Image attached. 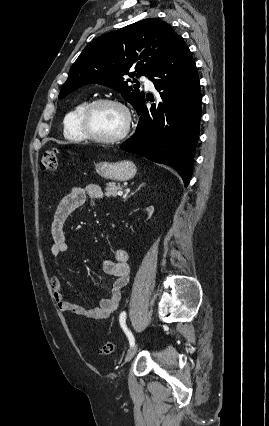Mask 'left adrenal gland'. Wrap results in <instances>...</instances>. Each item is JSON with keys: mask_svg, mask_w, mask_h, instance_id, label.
I'll list each match as a JSON object with an SVG mask.
<instances>
[{"mask_svg": "<svg viewBox=\"0 0 269 426\" xmlns=\"http://www.w3.org/2000/svg\"><path fill=\"white\" fill-rule=\"evenodd\" d=\"M142 185H143V184H141V185L139 186V188H140ZM139 188H138L136 191H138V190H139ZM136 191H135V192H136ZM133 194H134V193H131V195H133ZM131 195H130V196H131ZM130 196H129V197H130Z\"/></svg>", "mask_w": 269, "mask_h": 426, "instance_id": "left-adrenal-gland-1", "label": "left adrenal gland"}]
</instances>
